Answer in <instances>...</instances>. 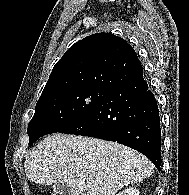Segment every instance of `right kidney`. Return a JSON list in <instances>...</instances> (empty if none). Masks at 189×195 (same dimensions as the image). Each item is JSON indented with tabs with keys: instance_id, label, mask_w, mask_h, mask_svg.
<instances>
[{
	"instance_id": "ca27d5eb",
	"label": "right kidney",
	"mask_w": 189,
	"mask_h": 195,
	"mask_svg": "<svg viewBox=\"0 0 189 195\" xmlns=\"http://www.w3.org/2000/svg\"><path fill=\"white\" fill-rule=\"evenodd\" d=\"M116 195H140V192L138 189H136L134 187H129V188L119 192Z\"/></svg>"
}]
</instances>
